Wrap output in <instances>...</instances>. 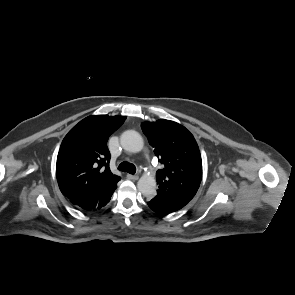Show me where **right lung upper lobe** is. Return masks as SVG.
I'll list each match as a JSON object with an SVG mask.
<instances>
[{
    "label": "right lung upper lobe",
    "mask_w": 295,
    "mask_h": 295,
    "mask_svg": "<svg viewBox=\"0 0 295 295\" xmlns=\"http://www.w3.org/2000/svg\"><path fill=\"white\" fill-rule=\"evenodd\" d=\"M125 119V116L92 115L65 136L57 156L56 176L62 194L69 200L92 197L120 179L109 169L107 141Z\"/></svg>",
    "instance_id": "obj_1"
}]
</instances>
